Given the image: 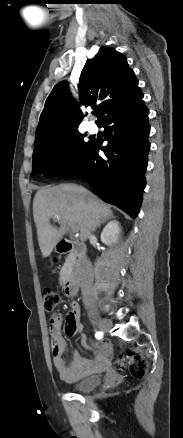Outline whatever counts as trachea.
Returning <instances> with one entry per match:
<instances>
[{
  "instance_id": "3493384b",
  "label": "trachea",
  "mask_w": 183,
  "mask_h": 438,
  "mask_svg": "<svg viewBox=\"0 0 183 438\" xmlns=\"http://www.w3.org/2000/svg\"><path fill=\"white\" fill-rule=\"evenodd\" d=\"M97 114V112H93V115H96Z\"/></svg>"
}]
</instances>
